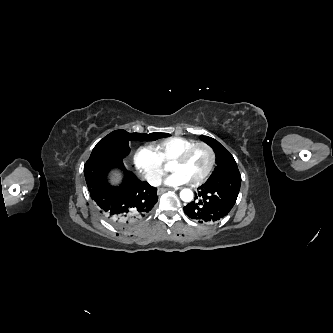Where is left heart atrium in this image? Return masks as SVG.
<instances>
[{"mask_svg":"<svg viewBox=\"0 0 333 333\" xmlns=\"http://www.w3.org/2000/svg\"><path fill=\"white\" fill-rule=\"evenodd\" d=\"M188 178L180 172H174L168 176L165 180V183L169 186L177 187L188 183Z\"/></svg>","mask_w":333,"mask_h":333,"instance_id":"1","label":"left heart atrium"}]
</instances>
